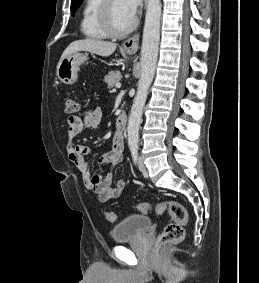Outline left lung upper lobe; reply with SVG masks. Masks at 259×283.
Wrapping results in <instances>:
<instances>
[{"mask_svg":"<svg viewBox=\"0 0 259 283\" xmlns=\"http://www.w3.org/2000/svg\"><path fill=\"white\" fill-rule=\"evenodd\" d=\"M83 0H72L71 1V13L72 16H74L77 8L80 6V4L82 3Z\"/></svg>","mask_w":259,"mask_h":283,"instance_id":"obj_1","label":"left lung upper lobe"}]
</instances>
